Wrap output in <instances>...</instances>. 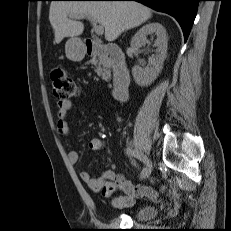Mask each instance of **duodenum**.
<instances>
[{"instance_id": "obj_1", "label": "duodenum", "mask_w": 231, "mask_h": 231, "mask_svg": "<svg viewBox=\"0 0 231 231\" xmlns=\"http://www.w3.org/2000/svg\"><path fill=\"white\" fill-rule=\"evenodd\" d=\"M86 54L106 58L113 68L114 97L121 101L126 98L130 84V71L121 48L113 43L101 44L96 40L85 41Z\"/></svg>"}]
</instances>
